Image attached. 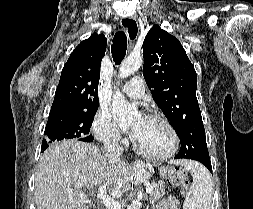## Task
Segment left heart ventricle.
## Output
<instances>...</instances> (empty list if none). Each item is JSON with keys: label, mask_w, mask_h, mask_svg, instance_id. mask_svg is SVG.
I'll use <instances>...</instances> for the list:
<instances>
[{"label": "left heart ventricle", "mask_w": 253, "mask_h": 209, "mask_svg": "<svg viewBox=\"0 0 253 209\" xmlns=\"http://www.w3.org/2000/svg\"><path fill=\"white\" fill-rule=\"evenodd\" d=\"M132 128L139 129L135 141L148 153L162 154L171 147L172 138L168 128L156 119L138 118Z\"/></svg>", "instance_id": "b2bd125f"}]
</instances>
